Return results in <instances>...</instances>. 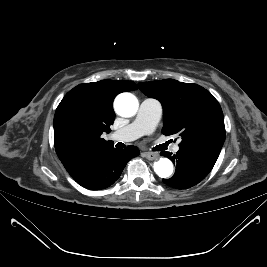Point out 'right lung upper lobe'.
I'll list each match as a JSON object with an SVG mask.
<instances>
[{"instance_id": "right-lung-upper-lobe-1", "label": "right lung upper lobe", "mask_w": 267, "mask_h": 267, "mask_svg": "<svg viewBox=\"0 0 267 267\" xmlns=\"http://www.w3.org/2000/svg\"><path fill=\"white\" fill-rule=\"evenodd\" d=\"M128 80H101L70 90L54 116L55 150L64 167H71L88 152L112 146L102 138L115 119L113 100L121 92L136 90Z\"/></svg>"}]
</instances>
